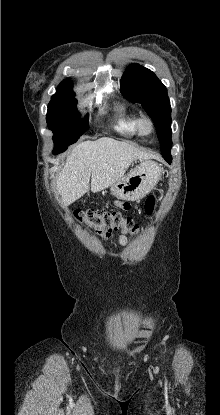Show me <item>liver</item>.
Instances as JSON below:
<instances>
[{"label": "liver", "instance_id": "6515ba94", "mask_svg": "<svg viewBox=\"0 0 220 415\" xmlns=\"http://www.w3.org/2000/svg\"><path fill=\"white\" fill-rule=\"evenodd\" d=\"M151 156L128 142L102 137L84 141L67 157L56 186L63 206L81 198L89 188L96 193L120 181L131 163Z\"/></svg>", "mask_w": 220, "mask_h": 415}]
</instances>
